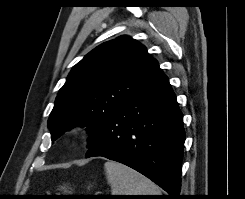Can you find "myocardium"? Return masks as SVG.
I'll use <instances>...</instances> for the list:
<instances>
[{
  "label": "myocardium",
  "mask_w": 245,
  "mask_h": 199,
  "mask_svg": "<svg viewBox=\"0 0 245 199\" xmlns=\"http://www.w3.org/2000/svg\"><path fill=\"white\" fill-rule=\"evenodd\" d=\"M74 137H75L76 139H81V138L83 137V134H82V132H80V131H75V132H74Z\"/></svg>",
  "instance_id": "obj_1"
}]
</instances>
